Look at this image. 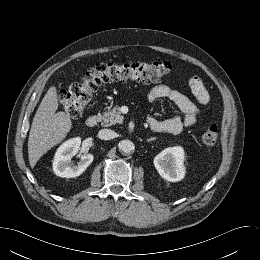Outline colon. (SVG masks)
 I'll return each mask as SVG.
<instances>
[{
  "label": "colon",
  "instance_id": "colon-1",
  "mask_svg": "<svg viewBox=\"0 0 260 260\" xmlns=\"http://www.w3.org/2000/svg\"><path fill=\"white\" fill-rule=\"evenodd\" d=\"M170 69V64L165 61L97 64L87 70L83 78L69 89L59 86V102L70 117L79 118L103 83L110 81L156 83L162 80ZM217 140L218 127L214 124L208 126L202 133L203 143L212 146Z\"/></svg>",
  "mask_w": 260,
  "mask_h": 260
}]
</instances>
